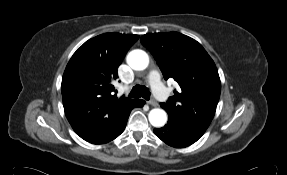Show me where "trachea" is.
Segmentation results:
<instances>
[{
    "label": "trachea",
    "mask_w": 287,
    "mask_h": 175,
    "mask_svg": "<svg viewBox=\"0 0 287 175\" xmlns=\"http://www.w3.org/2000/svg\"><path fill=\"white\" fill-rule=\"evenodd\" d=\"M129 96L133 97V98L143 97L145 100H149L150 99V91L145 86L136 85L132 88Z\"/></svg>",
    "instance_id": "1"
}]
</instances>
